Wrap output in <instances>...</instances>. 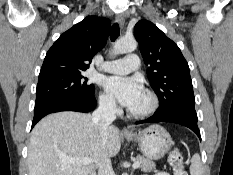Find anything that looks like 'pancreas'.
I'll return each mask as SVG.
<instances>
[{
	"label": "pancreas",
	"instance_id": "cf45deb5",
	"mask_svg": "<svg viewBox=\"0 0 233 175\" xmlns=\"http://www.w3.org/2000/svg\"><path fill=\"white\" fill-rule=\"evenodd\" d=\"M137 160L140 162V168L144 172H150L155 170V163L152 162L150 159L146 158L145 156H137Z\"/></svg>",
	"mask_w": 233,
	"mask_h": 175
}]
</instances>
